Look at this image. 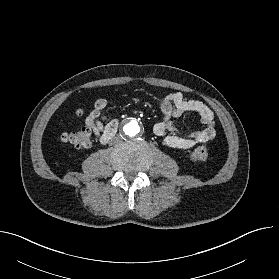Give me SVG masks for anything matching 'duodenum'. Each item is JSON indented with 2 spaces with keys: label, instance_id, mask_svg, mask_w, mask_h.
Returning <instances> with one entry per match:
<instances>
[{
  "label": "duodenum",
  "instance_id": "410a0bca",
  "mask_svg": "<svg viewBox=\"0 0 279 279\" xmlns=\"http://www.w3.org/2000/svg\"><path fill=\"white\" fill-rule=\"evenodd\" d=\"M118 125H119L118 121L114 120L107 126L101 138V143L103 144L107 143L116 134Z\"/></svg>",
  "mask_w": 279,
  "mask_h": 279
}]
</instances>
